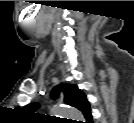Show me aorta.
Here are the masks:
<instances>
[{"mask_svg":"<svg viewBox=\"0 0 134 123\" xmlns=\"http://www.w3.org/2000/svg\"><path fill=\"white\" fill-rule=\"evenodd\" d=\"M51 113L59 115L61 118L67 119H81V114L77 109L69 107V106H56L51 109Z\"/></svg>","mask_w":134,"mask_h":123,"instance_id":"762f6f07","label":"aorta"}]
</instances>
